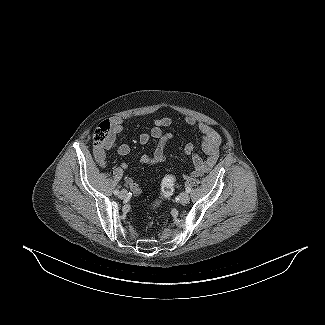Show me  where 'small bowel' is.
Listing matches in <instances>:
<instances>
[{
    "mask_svg": "<svg viewBox=\"0 0 325 325\" xmlns=\"http://www.w3.org/2000/svg\"><path fill=\"white\" fill-rule=\"evenodd\" d=\"M125 121L126 119L121 117L112 118L110 120V133L107 139L104 143L94 148V156L100 166L104 167L106 165L107 151L115 147L116 138L123 131ZM185 121L190 127H198L201 135V148L207 155L206 159L201 158L196 153L192 144H187L184 147V154L192 158L194 165L193 170L190 173H187L185 178H191L206 174L214 167L219 158V146L221 144V138L211 127L206 124H197L196 120L192 117H187ZM152 122L153 127L151 131L143 132L139 135V141L141 144L148 143L151 138H155L157 140V145L153 154H145L141 157V162L149 165L159 164L166 159L168 144L173 138L171 133L164 132L165 128L171 126L172 122L170 118H153ZM117 152L121 156H126L130 153V146L123 143L118 146ZM121 167L123 169H127L128 165L123 163ZM125 183L134 195L140 194V186L131 177H125Z\"/></svg>",
    "mask_w": 325,
    "mask_h": 325,
    "instance_id": "c3829d8e",
    "label": "small bowel"
}]
</instances>
